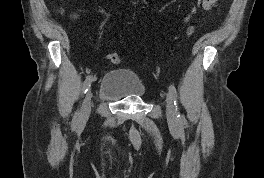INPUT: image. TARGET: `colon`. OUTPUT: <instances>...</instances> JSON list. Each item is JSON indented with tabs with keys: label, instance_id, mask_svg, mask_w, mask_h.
<instances>
[{
	"label": "colon",
	"instance_id": "colon-1",
	"mask_svg": "<svg viewBox=\"0 0 264 178\" xmlns=\"http://www.w3.org/2000/svg\"><path fill=\"white\" fill-rule=\"evenodd\" d=\"M208 0H197L196 3L188 10V12L185 14V16L182 19V28L186 31V33L189 35L192 32V27L190 26V21L193 17V15L196 13V10L199 7H203L206 5ZM108 60L112 64H118L122 61V57L118 53H109L107 56Z\"/></svg>",
	"mask_w": 264,
	"mask_h": 178
}]
</instances>
